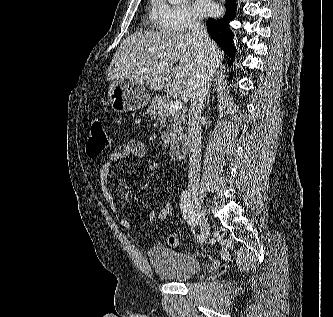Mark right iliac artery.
Returning a JSON list of instances; mask_svg holds the SVG:
<instances>
[{
  "instance_id": "1",
  "label": "right iliac artery",
  "mask_w": 333,
  "mask_h": 317,
  "mask_svg": "<svg viewBox=\"0 0 333 317\" xmlns=\"http://www.w3.org/2000/svg\"><path fill=\"white\" fill-rule=\"evenodd\" d=\"M180 208L186 222L190 226H196L198 224V219L193 208L190 193L187 190H184L181 194ZM197 239L202 242L204 237L200 234L198 235Z\"/></svg>"
}]
</instances>
